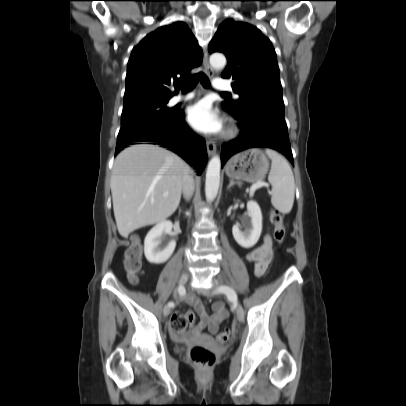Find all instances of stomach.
Wrapping results in <instances>:
<instances>
[{
    "instance_id": "0dacf381",
    "label": "stomach",
    "mask_w": 406,
    "mask_h": 406,
    "mask_svg": "<svg viewBox=\"0 0 406 406\" xmlns=\"http://www.w3.org/2000/svg\"><path fill=\"white\" fill-rule=\"evenodd\" d=\"M269 161L260 149H249L233 156L226 165L228 177L247 182H258L265 178Z\"/></svg>"
}]
</instances>
